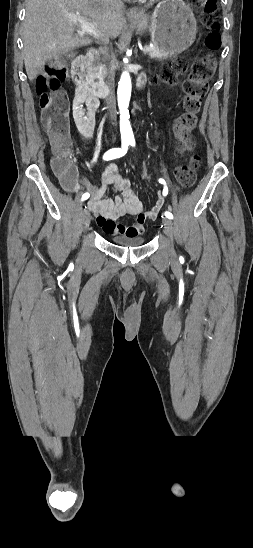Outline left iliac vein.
<instances>
[{
  "label": "left iliac vein",
  "mask_w": 253,
  "mask_h": 548,
  "mask_svg": "<svg viewBox=\"0 0 253 548\" xmlns=\"http://www.w3.org/2000/svg\"><path fill=\"white\" fill-rule=\"evenodd\" d=\"M163 224H164V229H165V233L166 235L170 238L171 242L173 241V233H174V225H173V222L169 219V218H164L162 220ZM171 255L174 256L175 255V250L173 248V245H171Z\"/></svg>",
  "instance_id": "4c4485c4"
}]
</instances>
